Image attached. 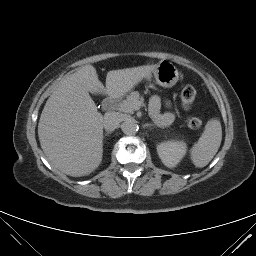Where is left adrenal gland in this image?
<instances>
[{"mask_svg": "<svg viewBox=\"0 0 256 256\" xmlns=\"http://www.w3.org/2000/svg\"><path fill=\"white\" fill-rule=\"evenodd\" d=\"M144 126L148 127V126H154V125L153 124H145Z\"/></svg>", "mask_w": 256, "mask_h": 256, "instance_id": "a2214340", "label": "left adrenal gland"}]
</instances>
